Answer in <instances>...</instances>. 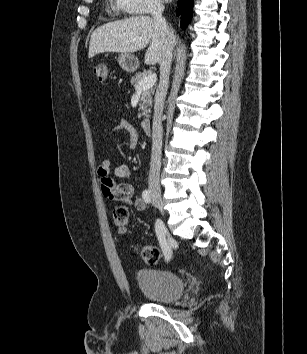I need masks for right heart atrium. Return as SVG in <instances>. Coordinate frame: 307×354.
I'll return each mask as SVG.
<instances>
[{"label": "right heart atrium", "mask_w": 307, "mask_h": 354, "mask_svg": "<svg viewBox=\"0 0 307 354\" xmlns=\"http://www.w3.org/2000/svg\"><path fill=\"white\" fill-rule=\"evenodd\" d=\"M122 10L130 14H149L162 8L161 0H117Z\"/></svg>", "instance_id": "right-heart-atrium-1"}]
</instances>
